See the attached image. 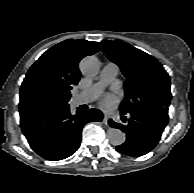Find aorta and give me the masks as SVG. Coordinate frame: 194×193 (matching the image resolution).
Listing matches in <instances>:
<instances>
[{"instance_id":"1","label":"aorta","mask_w":194,"mask_h":193,"mask_svg":"<svg viewBox=\"0 0 194 193\" xmlns=\"http://www.w3.org/2000/svg\"><path fill=\"white\" fill-rule=\"evenodd\" d=\"M100 65L99 61L94 56H87L82 59L80 63L81 72L86 76H96L98 74ZM107 138L114 146H119L125 141V134L117 128H109L107 131Z\"/></svg>"}]
</instances>
